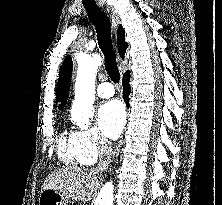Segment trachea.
<instances>
[{"instance_id":"3493384b","label":"trachea","mask_w":222,"mask_h":205,"mask_svg":"<svg viewBox=\"0 0 222 205\" xmlns=\"http://www.w3.org/2000/svg\"><path fill=\"white\" fill-rule=\"evenodd\" d=\"M85 9L96 28L98 44L105 58V69L110 79L114 83H118L120 80V73L117 67L116 54L111 39L110 20L97 6H85Z\"/></svg>"}]
</instances>
